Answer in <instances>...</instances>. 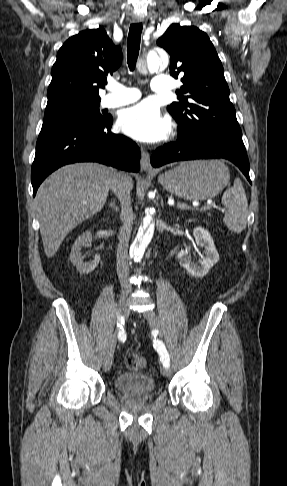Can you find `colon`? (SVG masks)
Listing matches in <instances>:
<instances>
[{
  "label": "colon",
  "mask_w": 287,
  "mask_h": 486,
  "mask_svg": "<svg viewBox=\"0 0 287 486\" xmlns=\"http://www.w3.org/2000/svg\"><path fill=\"white\" fill-rule=\"evenodd\" d=\"M125 366L132 371H138L145 367V359L139 354L130 353L125 356Z\"/></svg>",
  "instance_id": "1"
}]
</instances>
